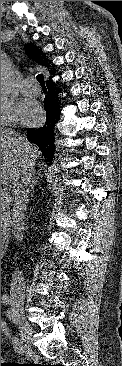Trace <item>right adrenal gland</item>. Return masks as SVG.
Wrapping results in <instances>:
<instances>
[{
    "mask_svg": "<svg viewBox=\"0 0 122 366\" xmlns=\"http://www.w3.org/2000/svg\"><path fill=\"white\" fill-rule=\"evenodd\" d=\"M37 179H39V177H36V176L33 177V180L31 183V195H33V193H34V187H35L36 183L38 182Z\"/></svg>",
    "mask_w": 122,
    "mask_h": 366,
    "instance_id": "2a0ac1e0",
    "label": "right adrenal gland"
}]
</instances>
